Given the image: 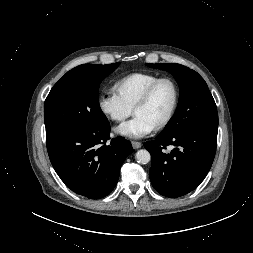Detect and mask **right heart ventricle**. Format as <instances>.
<instances>
[{
  "label": "right heart ventricle",
  "mask_w": 253,
  "mask_h": 253,
  "mask_svg": "<svg viewBox=\"0 0 253 253\" xmlns=\"http://www.w3.org/2000/svg\"><path fill=\"white\" fill-rule=\"evenodd\" d=\"M158 78V75L152 73H131L116 81L114 90L128 106L133 108L144 90Z\"/></svg>",
  "instance_id": "e07e8e85"
}]
</instances>
